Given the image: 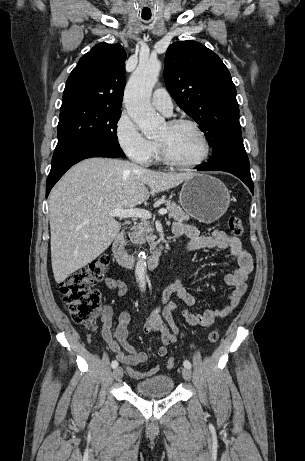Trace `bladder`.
Here are the masks:
<instances>
[{
  "mask_svg": "<svg viewBox=\"0 0 305 461\" xmlns=\"http://www.w3.org/2000/svg\"><path fill=\"white\" fill-rule=\"evenodd\" d=\"M135 391L143 396L156 397L172 393L174 382L171 376L166 374L153 375L147 379L137 381Z\"/></svg>",
  "mask_w": 305,
  "mask_h": 461,
  "instance_id": "obj_1",
  "label": "bladder"
}]
</instances>
